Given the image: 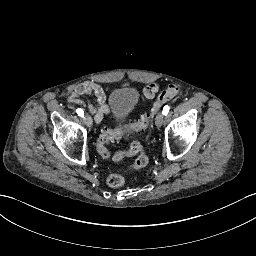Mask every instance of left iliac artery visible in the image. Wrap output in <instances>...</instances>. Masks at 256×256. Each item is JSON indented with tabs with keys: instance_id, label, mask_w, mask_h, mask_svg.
<instances>
[{
	"instance_id": "left-iliac-artery-1",
	"label": "left iliac artery",
	"mask_w": 256,
	"mask_h": 256,
	"mask_svg": "<svg viewBox=\"0 0 256 256\" xmlns=\"http://www.w3.org/2000/svg\"><path fill=\"white\" fill-rule=\"evenodd\" d=\"M169 110H170V107L168 105L164 106L162 114L166 116L169 113Z\"/></svg>"
}]
</instances>
